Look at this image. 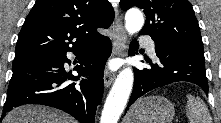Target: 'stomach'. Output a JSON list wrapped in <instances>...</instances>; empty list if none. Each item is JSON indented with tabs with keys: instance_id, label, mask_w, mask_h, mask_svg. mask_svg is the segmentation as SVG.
Wrapping results in <instances>:
<instances>
[{
	"instance_id": "stomach-1",
	"label": "stomach",
	"mask_w": 221,
	"mask_h": 123,
	"mask_svg": "<svg viewBox=\"0 0 221 123\" xmlns=\"http://www.w3.org/2000/svg\"><path fill=\"white\" fill-rule=\"evenodd\" d=\"M174 116V105L167 98L147 96L133 104L125 123H171Z\"/></svg>"
}]
</instances>
